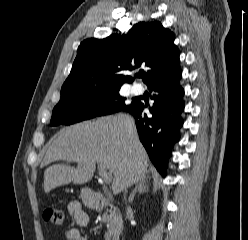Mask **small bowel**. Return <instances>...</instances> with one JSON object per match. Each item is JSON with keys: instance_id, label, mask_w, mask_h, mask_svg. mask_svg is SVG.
Segmentation results:
<instances>
[{"instance_id": "c3829d8e", "label": "small bowel", "mask_w": 248, "mask_h": 240, "mask_svg": "<svg viewBox=\"0 0 248 240\" xmlns=\"http://www.w3.org/2000/svg\"><path fill=\"white\" fill-rule=\"evenodd\" d=\"M68 212L78 226H85L89 222V217L78 201H71L68 205ZM67 240H87L78 228L72 227L66 231Z\"/></svg>"}]
</instances>
